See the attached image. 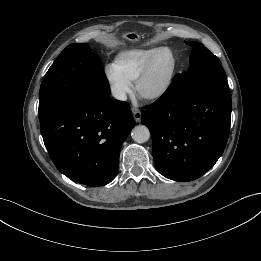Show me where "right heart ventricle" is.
Listing matches in <instances>:
<instances>
[{"label":"right heart ventricle","instance_id":"right-heart-ventricle-1","mask_svg":"<svg viewBox=\"0 0 261 261\" xmlns=\"http://www.w3.org/2000/svg\"><path fill=\"white\" fill-rule=\"evenodd\" d=\"M157 49H131L122 51L115 57L113 64L124 78L130 82H135Z\"/></svg>","mask_w":261,"mask_h":261}]
</instances>
